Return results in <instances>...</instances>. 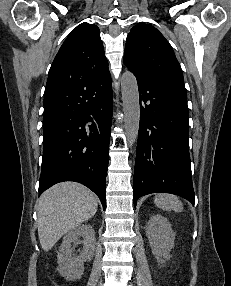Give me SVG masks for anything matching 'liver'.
I'll return each instance as SVG.
<instances>
[{
    "mask_svg": "<svg viewBox=\"0 0 231 286\" xmlns=\"http://www.w3.org/2000/svg\"><path fill=\"white\" fill-rule=\"evenodd\" d=\"M97 207V198L82 184L62 182L46 190L37 202L42 249L49 251L63 235L93 217Z\"/></svg>",
    "mask_w": 231,
    "mask_h": 286,
    "instance_id": "6515ba94",
    "label": "liver"
}]
</instances>
